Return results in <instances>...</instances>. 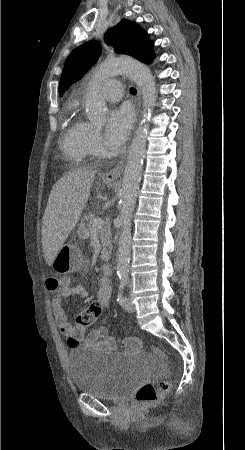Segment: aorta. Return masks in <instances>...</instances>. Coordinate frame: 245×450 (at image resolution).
<instances>
[{
    "mask_svg": "<svg viewBox=\"0 0 245 450\" xmlns=\"http://www.w3.org/2000/svg\"><path fill=\"white\" fill-rule=\"evenodd\" d=\"M119 73H126L140 87L143 97L142 120L130 145L120 192L122 229L118 244L117 273L119 277L127 278L131 244V218L141 180L149 122L157 95L154 77L147 66L133 59L107 60L96 68L87 92L86 112L93 124L102 125L107 115V107L99 92V84L104 79Z\"/></svg>",
    "mask_w": 245,
    "mask_h": 450,
    "instance_id": "1",
    "label": "aorta"
}]
</instances>
